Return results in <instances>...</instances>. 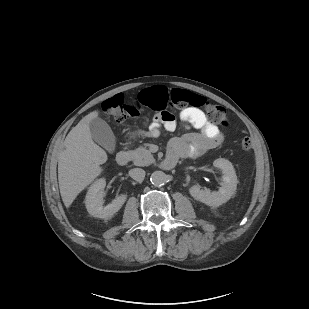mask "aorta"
<instances>
[{"instance_id":"aorta-1","label":"aorta","mask_w":309,"mask_h":309,"mask_svg":"<svg viewBox=\"0 0 309 309\" xmlns=\"http://www.w3.org/2000/svg\"><path fill=\"white\" fill-rule=\"evenodd\" d=\"M150 181L156 187L163 186L167 182V175L162 171H155L152 173Z\"/></svg>"}]
</instances>
